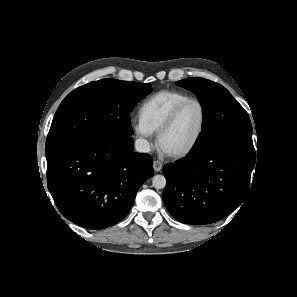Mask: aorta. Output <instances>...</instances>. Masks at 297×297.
I'll list each match as a JSON object with an SVG mask.
<instances>
[{"label":"aorta","mask_w":297,"mask_h":297,"mask_svg":"<svg viewBox=\"0 0 297 297\" xmlns=\"http://www.w3.org/2000/svg\"><path fill=\"white\" fill-rule=\"evenodd\" d=\"M152 185L156 189H163L166 185V179L163 175H155L152 179Z\"/></svg>","instance_id":"aorta-1"}]
</instances>
